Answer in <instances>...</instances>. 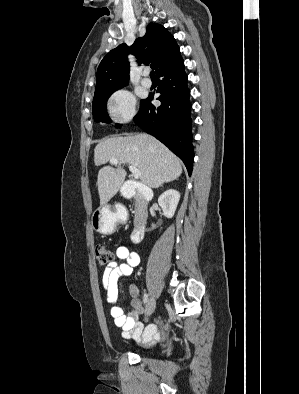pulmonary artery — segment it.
Here are the masks:
<instances>
[{"mask_svg":"<svg viewBox=\"0 0 299 394\" xmlns=\"http://www.w3.org/2000/svg\"><path fill=\"white\" fill-rule=\"evenodd\" d=\"M148 74H145V78L142 80V85L146 88H150L152 86V81L147 77Z\"/></svg>","mask_w":299,"mask_h":394,"instance_id":"obj_1","label":"pulmonary artery"}]
</instances>
